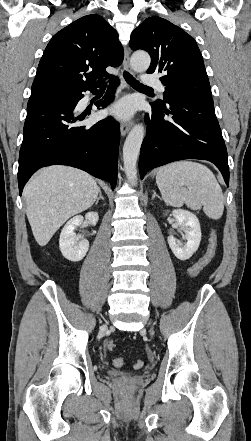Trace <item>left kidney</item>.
I'll return each instance as SVG.
<instances>
[{
	"instance_id": "obj_1",
	"label": "left kidney",
	"mask_w": 251,
	"mask_h": 441,
	"mask_svg": "<svg viewBox=\"0 0 251 441\" xmlns=\"http://www.w3.org/2000/svg\"><path fill=\"white\" fill-rule=\"evenodd\" d=\"M172 215L176 223L185 232L187 243L181 247L173 236L168 237V244L173 254L180 260L189 259L198 249L201 241V228L198 218L188 210L175 209Z\"/></svg>"
}]
</instances>
